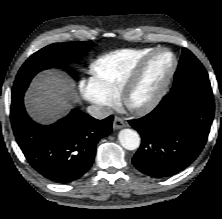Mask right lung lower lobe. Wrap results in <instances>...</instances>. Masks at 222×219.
<instances>
[{"instance_id": "obj_1", "label": "right lung lower lobe", "mask_w": 222, "mask_h": 219, "mask_svg": "<svg viewBox=\"0 0 222 219\" xmlns=\"http://www.w3.org/2000/svg\"><path fill=\"white\" fill-rule=\"evenodd\" d=\"M11 123L29 164L45 178L70 183L92 166L98 141L112 132L113 116L97 120L77 109L52 125H40L26 113L23 95L12 98Z\"/></svg>"}]
</instances>
